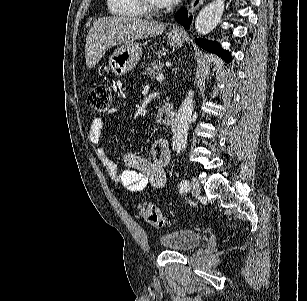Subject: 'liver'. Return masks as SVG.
I'll use <instances>...</instances> for the list:
<instances>
[{
    "label": "liver",
    "instance_id": "6515ba94",
    "mask_svg": "<svg viewBox=\"0 0 307 301\" xmlns=\"http://www.w3.org/2000/svg\"><path fill=\"white\" fill-rule=\"evenodd\" d=\"M163 22L131 18V16H102L94 20L86 38L85 64L93 68L111 46L131 40L150 38L164 32Z\"/></svg>",
    "mask_w": 307,
    "mask_h": 301
}]
</instances>
